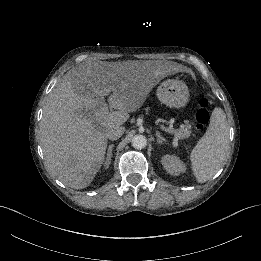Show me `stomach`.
<instances>
[{"instance_id": "stomach-1", "label": "stomach", "mask_w": 261, "mask_h": 261, "mask_svg": "<svg viewBox=\"0 0 261 261\" xmlns=\"http://www.w3.org/2000/svg\"><path fill=\"white\" fill-rule=\"evenodd\" d=\"M157 97L169 107L181 108L189 102V90L183 81L169 79L158 86Z\"/></svg>"}]
</instances>
